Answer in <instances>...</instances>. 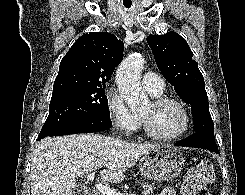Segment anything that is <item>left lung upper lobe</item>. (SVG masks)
I'll return each instance as SVG.
<instances>
[{
  "label": "left lung upper lobe",
  "mask_w": 245,
  "mask_h": 195,
  "mask_svg": "<svg viewBox=\"0 0 245 195\" xmlns=\"http://www.w3.org/2000/svg\"><path fill=\"white\" fill-rule=\"evenodd\" d=\"M147 42L162 75L191 106L195 133L215 139L204 78L185 39L176 32H168L160 36L149 35Z\"/></svg>",
  "instance_id": "5c2ea615"
}]
</instances>
